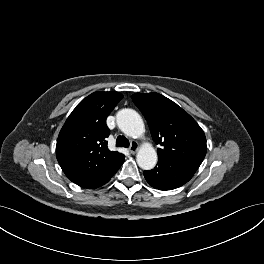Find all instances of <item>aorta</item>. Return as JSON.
<instances>
[{
  "mask_svg": "<svg viewBox=\"0 0 264 264\" xmlns=\"http://www.w3.org/2000/svg\"><path fill=\"white\" fill-rule=\"evenodd\" d=\"M116 121L119 129L132 138L144 135L145 128L141 116L133 109H122L117 113ZM137 163L144 170H151L157 163V153L151 144H144L137 153Z\"/></svg>",
  "mask_w": 264,
  "mask_h": 264,
  "instance_id": "obj_1",
  "label": "aorta"
}]
</instances>
